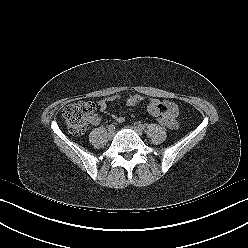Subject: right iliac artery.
<instances>
[{
    "label": "right iliac artery",
    "instance_id": "right-iliac-artery-1",
    "mask_svg": "<svg viewBox=\"0 0 248 248\" xmlns=\"http://www.w3.org/2000/svg\"><path fill=\"white\" fill-rule=\"evenodd\" d=\"M115 129V124H110L108 126V130H114Z\"/></svg>",
    "mask_w": 248,
    "mask_h": 248
}]
</instances>
